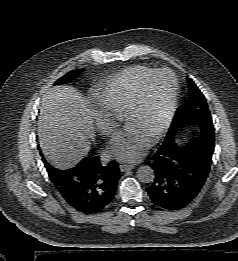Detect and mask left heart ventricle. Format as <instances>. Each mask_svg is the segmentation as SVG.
<instances>
[{
	"mask_svg": "<svg viewBox=\"0 0 238 261\" xmlns=\"http://www.w3.org/2000/svg\"><path fill=\"white\" fill-rule=\"evenodd\" d=\"M173 88L171 75L164 73L154 77L146 87L140 110L130 116L128 124L152 135L166 115Z\"/></svg>",
	"mask_w": 238,
	"mask_h": 261,
	"instance_id": "1",
	"label": "left heart ventricle"
}]
</instances>
